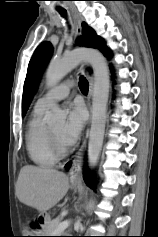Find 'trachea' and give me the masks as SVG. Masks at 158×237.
Masks as SVG:
<instances>
[{
  "label": "trachea",
  "instance_id": "3493384b",
  "mask_svg": "<svg viewBox=\"0 0 158 237\" xmlns=\"http://www.w3.org/2000/svg\"><path fill=\"white\" fill-rule=\"evenodd\" d=\"M62 16H66L65 10H59ZM79 87L82 93L86 94L88 92L89 84L88 81L84 77H80Z\"/></svg>",
  "mask_w": 158,
  "mask_h": 237
}]
</instances>
